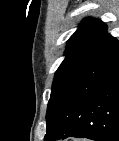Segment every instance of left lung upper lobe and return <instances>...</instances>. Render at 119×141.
Returning a JSON list of instances; mask_svg holds the SVG:
<instances>
[{
    "instance_id": "5c2ea615",
    "label": "left lung upper lobe",
    "mask_w": 119,
    "mask_h": 141,
    "mask_svg": "<svg viewBox=\"0 0 119 141\" xmlns=\"http://www.w3.org/2000/svg\"><path fill=\"white\" fill-rule=\"evenodd\" d=\"M107 26L99 19H84L67 42L65 59L56 71L51 97L74 80L96 57L106 37Z\"/></svg>"
}]
</instances>
